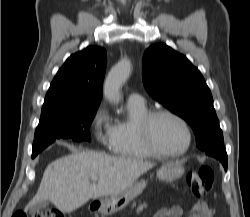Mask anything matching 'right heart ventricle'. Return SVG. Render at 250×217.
<instances>
[{
  "label": "right heart ventricle",
  "instance_id": "right-heart-ventricle-1",
  "mask_svg": "<svg viewBox=\"0 0 250 217\" xmlns=\"http://www.w3.org/2000/svg\"><path fill=\"white\" fill-rule=\"evenodd\" d=\"M128 117L113 124L112 151L122 157L151 159L156 157L143 143L139 122L149 112L145 103H127Z\"/></svg>",
  "mask_w": 250,
  "mask_h": 217
}]
</instances>
